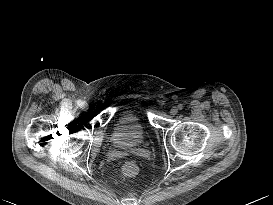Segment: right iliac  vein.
Returning a JSON list of instances; mask_svg holds the SVG:
<instances>
[{"label": "right iliac vein", "mask_w": 273, "mask_h": 205, "mask_svg": "<svg viewBox=\"0 0 273 205\" xmlns=\"http://www.w3.org/2000/svg\"><path fill=\"white\" fill-rule=\"evenodd\" d=\"M86 108H87V104H84V105H83V109H86Z\"/></svg>", "instance_id": "right-iliac-vein-1"}]
</instances>
